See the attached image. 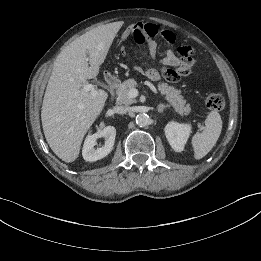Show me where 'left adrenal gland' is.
<instances>
[{
    "instance_id": "obj_1",
    "label": "left adrenal gland",
    "mask_w": 261,
    "mask_h": 261,
    "mask_svg": "<svg viewBox=\"0 0 261 261\" xmlns=\"http://www.w3.org/2000/svg\"><path fill=\"white\" fill-rule=\"evenodd\" d=\"M168 107H169V105H164V104L160 103L158 105V113H163L164 109H166Z\"/></svg>"
}]
</instances>
